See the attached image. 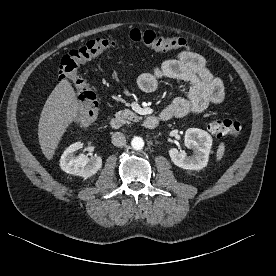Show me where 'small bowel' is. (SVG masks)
Here are the masks:
<instances>
[{
  "mask_svg": "<svg viewBox=\"0 0 276 276\" xmlns=\"http://www.w3.org/2000/svg\"><path fill=\"white\" fill-rule=\"evenodd\" d=\"M161 78L178 79L189 86L187 97L176 98L163 109L161 115L168 119L199 114L224 99L222 81L210 72L204 57L198 53L181 51L175 58L161 62L153 71L140 74L137 84L142 91L150 93Z\"/></svg>",
  "mask_w": 276,
  "mask_h": 276,
  "instance_id": "1",
  "label": "small bowel"
}]
</instances>
